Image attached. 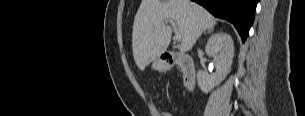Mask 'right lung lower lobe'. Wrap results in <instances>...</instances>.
I'll return each instance as SVG.
<instances>
[{"instance_id":"98d812e1","label":"right lung lower lobe","mask_w":305,"mask_h":116,"mask_svg":"<svg viewBox=\"0 0 305 116\" xmlns=\"http://www.w3.org/2000/svg\"><path fill=\"white\" fill-rule=\"evenodd\" d=\"M205 7L215 17L233 23L242 41L248 36L259 0H192Z\"/></svg>"}]
</instances>
